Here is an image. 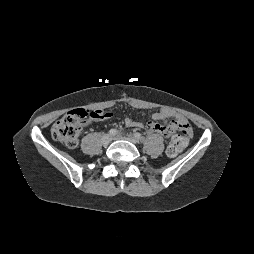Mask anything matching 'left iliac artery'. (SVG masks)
Segmentation results:
<instances>
[{
	"instance_id": "1",
	"label": "left iliac artery",
	"mask_w": 254,
	"mask_h": 254,
	"mask_svg": "<svg viewBox=\"0 0 254 254\" xmlns=\"http://www.w3.org/2000/svg\"><path fill=\"white\" fill-rule=\"evenodd\" d=\"M134 137L138 140H140L142 137H141V134L140 133H135L134 134Z\"/></svg>"
}]
</instances>
